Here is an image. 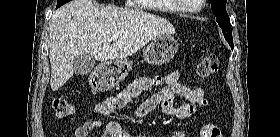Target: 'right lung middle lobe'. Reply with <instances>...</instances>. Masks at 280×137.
<instances>
[{
  "mask_svg": "<svg viewBox=\"0 0 280 137\" xmlns=\"http://www.w3.org/2000/svg\"><path fill=\"white\" fill-rule=\"evenodd\" d=\"M69 1H70V0H58V1H57V7H56V8L62 6L63 4H65V3L69 2Z\"/></svg>",
  "mask_w": 280,
  "mask_h": 137,
  "instance_id": "obj_1",
  "label": "right lung middle lobe"
}]
</instances>
